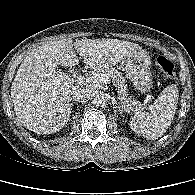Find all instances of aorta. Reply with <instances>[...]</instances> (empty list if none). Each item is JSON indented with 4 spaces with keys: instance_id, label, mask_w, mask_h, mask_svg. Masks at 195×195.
<instances>
[{
    "instance_id": "762f6f07",
    "label": "aorta",
    "mask_w": 195,
    "mask_h": 195,
    "mask_svg": "<svg viewBox=\"0 0 195 195\" xmlns=\"http://www.w3.org/2000/svg\"><path fill=\"white\" fill-rule=\"evenodd\" d=\"M93 105L95 106H100L103 103V98H101L100 96H96L93 101H92Z\"/></svg>"
}]
</instances>
